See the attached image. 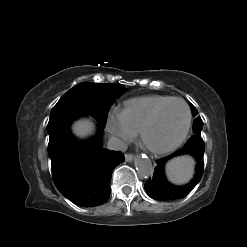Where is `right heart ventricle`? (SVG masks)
Here are the masks:
<instances>
[{"instance_id": "right-heart-ventricle-1", "label": "right heart ventricle", "mask_w": 247, "mask_h": 247, "mask_svg": "<svg viewBox=\"0 0 247 247\" xmlns=\"http://www.w3.org/2000/svg\"><path fill=\"white\" fill-rule=\"evenodd\" d=\"M170 98L172 97L157 94L133 98L125 102L122 112L130 127L135 132H139L152 112Z\"/></svg>"}]
</instances>
